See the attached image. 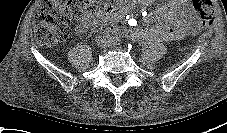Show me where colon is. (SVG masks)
<instances>
[{
    "label": "colon",
    "instance_id": "obj_1",
    "mask_svg": "<svg viewBox=\"0 0 227 133\" xmlns=\"http://www.w3.org/2000/svg\"><path fill=\"white\" fill-rule=\"evenodd\" d=\"M205 28L212 22V0H192ZM98 10L110 13L113 7H97L93 0H43L35 17V39L42 45H55L63 41L69 32L70 22Z\"/></svg>",
    "mask_w": 227,
    "mask_h": 133
}]
</instances>
